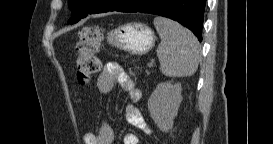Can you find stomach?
Wrapping results in <instances>:
<instances>
[{"label": "stomach", "instance_id": "obj_1", "mask_svg": "<svg viewBox=\"0 0 273 144\" xmlns=\"http://www.w3.org/2000/svg\"><path fill=\"white\" fill-rule=\"evenodd\" d=\"M153 31L141 23H128L112 30L107 41L113 47L133 55L148 53L155 45Z\"/></svg>", "mask_w": 273, "mask_h": 144}]
</instances>
